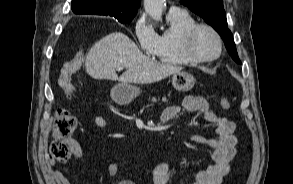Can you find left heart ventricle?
<instances>
[{
  "instance_id": "left-heart-ventricle-1",
  "label": "left heart ventricle",
  "mask_w": 293,
  "mask_h": 184,
  "mask_svg": "<svg viewBox=\"0 0 293 184\" xmlns=\"http://www.w3.org/2000/svg\"><path fill=\"white\" fill-rule=\"evenodd\" d=\"M192 50L199 57H211L217 53L218 43L212 33L201 29L193 37Z\"/></svg>"
}]
</instances>
